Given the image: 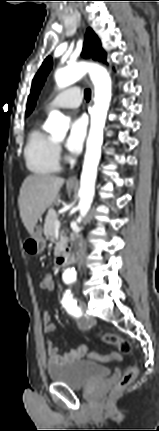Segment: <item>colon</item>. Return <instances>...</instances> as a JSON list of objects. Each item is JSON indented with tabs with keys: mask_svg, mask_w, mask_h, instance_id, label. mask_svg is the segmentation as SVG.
<instances>
[{
	"mask_svg": "<svg viewBox=\"0 0 159 431\" xmlns=\"http://www.w3.org/2000/svg\"><path fill=\"white\" fill-rule=\"evenodd\" d=\"M51 273L52 271L49 270ZM50 283L48 285V293L50 296H55V291L57 284L55 283L54 277L49 278ZM101 338L104 342L115 345L119 352L122 354H112L111 356L106 358V354H101V356L96 353H88V357L94 360H97V363H107L108 361H114V363H121V359L124 358L123 354H128L132 350V346L129 341L118 337L113 333H104L101 335ZM138 374V370L135 367L129 368L125 374L122 376L120 381L115 386V392H121L124 390L136 377Z\"/></svg>",
	"mask_w": 159,
	"mask_h": 431,
	"instance_id": "obj_1",
	"label": "colon"
}]
</instances>
